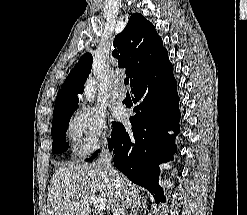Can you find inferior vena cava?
Instances as JSON below:
<instances>
[{"mask_svg": "<svg viewBox=\"0 0 247 215\" xmlns=\"http://www.w3.org/2000/svg\"><path fill=\"white\" fill-rule=\"evenodd\" d=\"M112 161V153L108 149V147L104 146L101 150L100 157L98 159V163L102 166L106 176L114 183H120L119 173L115 170V168L111 164ZM122 199L117 200V209L115 215H126V203L121 201Z\"/></svg>", "mask_w": 247, "mask_h": 215, "instance_id": "1", "label": "inferior vena cava"}]
</instances>
